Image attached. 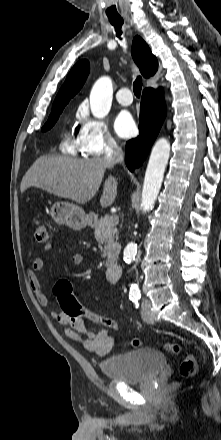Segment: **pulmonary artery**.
<instances>
[{"instance_id":"pulmonary-artery-1","label":"pulmonary artery","mask_w":221,"mask_h":440,"mask_svg":"<svg viewBox=\"0 0 221 440\" xmlns=\"http://www.w3.org/2000/svg\"><path fill=\"white\" fill-rule=\"evenodd\" d=\"M116 99L118 103H120L123 106L130 105L133 101V97L130 89L127 87L121 88L116 94Z\"/></svg>"}]
</instances>
